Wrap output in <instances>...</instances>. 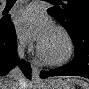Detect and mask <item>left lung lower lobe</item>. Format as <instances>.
Returning <instances> with one entry per match:
<instances>
[{
	"mask_svg": "<svg viewBox=\"0 0 89 89\" xmlns=\"http://www.w3.org/2000/svg\"><path fill=\"white\" fill-rule=\"evenodd\" d=\"M51 15V13L48 11ZM75 46L74 59L60 68L41 71L40 77L76 75L89 78V23L83 22L68 32Z\"/></svg>",
	"mask_w": 89,
	"mask_h": 89,
	"instance_id": "1",
	"label": "left lung lower lobe"
}]
</instances>
